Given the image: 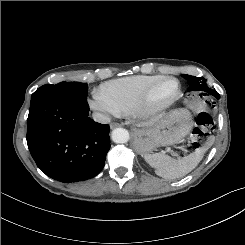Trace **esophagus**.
<instances>
[{"instance_id": "obj_1", "label": "esophagus", "mask_w": 245, "mask_h": 245, "mask_svg": "<svg viewBox=\"0 0 245 245\" xmlns=\"http://www.w3.org/2000/svg\"><path fill=\"white\" fill-rule=\"evenodd\" d=\"M119 126H121V125L119 123H116V122H113L110 124L111 129H114V128L119 127Z\"/></svg>"}]
</instances>
